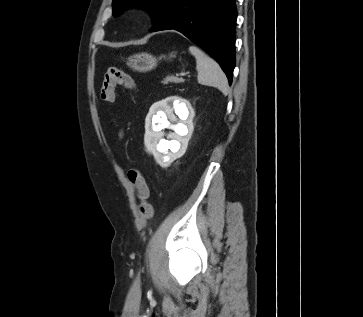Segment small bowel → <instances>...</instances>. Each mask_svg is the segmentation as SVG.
<instances>
[{"mask_svg": "<svg viewBox=\"0 0 363 317\" xmlns=\"http://www.w3.org/2000/svg\"><path fill=\"white\" fill-rule=\"evenodd\" d=\"M123 136V133H120V137H122Z\"/></svg>", "mask_w": 363, "mask_h": 317, "instance_id": "obj_1", "label": "small bowel"}]
</instances>
